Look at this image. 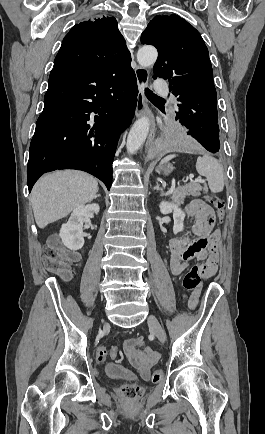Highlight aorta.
<instances>
[{
    "label": "aorta",
    "mask_w": 265,
    "mask_h": 434,
    "mask_svg": "<svg viewBox=\"0 0 265 434\" xmlns=\"http://www.w3.org/2000/svg\"><path fill=\"white\" fill-rule=\"evenodd\" d=\"M158 52L153 46H143L137 52V62L142 68L153 66L157 60ZM150 120L148 118H140L133 124L127 138V152L134 154L141 146H143L149 132Z\"/></svg>",
    "instance_id": "obj_1"
}]
</instances>
